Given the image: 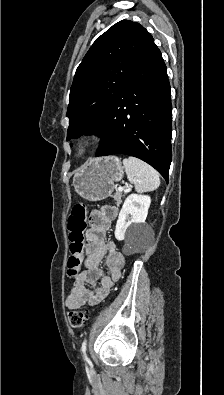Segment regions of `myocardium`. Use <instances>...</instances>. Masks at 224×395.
<instances>
[{
    "label": "myocardium",
    "mask_w": 224,
    "mask_h": 395,
    "mask_svg": "<svg viewBox=\"0 0 224 395\" xmlns=\"http://www.w3.org/2000/svg\"><path fill=\"white\" fill-rule=\"evenodd\" d=\"M94 143V137L92 135H83L81 136L76 144V154L79 157H84L87 155V153L90 151L92 145Z\"/></svg>",
    "instance_id": "f54148a6"
}]
</instances>
